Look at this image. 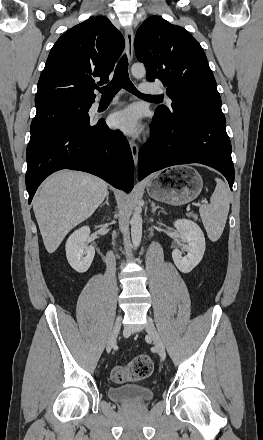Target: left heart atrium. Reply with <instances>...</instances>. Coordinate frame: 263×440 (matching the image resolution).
Listing matches in <instances>:
<instances>
[{
  "label": "left heart atrium",
  "instance_id": "1",
  "mask_svg": "<svg viewBox=\"0 0 263 440\" xmlns=\"http://www.w3.org/2000/svg\"><path fill=\"white\" fill-rule=\"evenodd\" d=\"M141 113L135 106H130L111 115L110 125L121 132L134 135L140 130Z\"/></svg>",
  "mask_w": 263,
  "mask_h": 440
}]
</instances>
